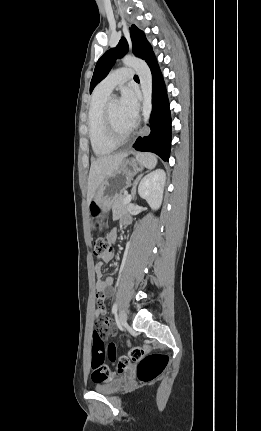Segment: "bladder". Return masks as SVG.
<instances>
[{
  "mask_svg": "<svg viewBox=\"0 0 261 431\" xmlns=\"http://www.w3.org/2000/svg\"><path fill=\"white\" fill-rule=\"evenodd\" d=\"M125 383L124 377H116L112 379L97 381L94 389L101 394H112L120 390Z\"/></svg>",
  "mask_w": 261,
  "mask_h": 431,
  "instance_id": "obj_1",
  "label": "bladder"
}]
</instances>
